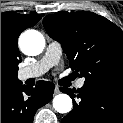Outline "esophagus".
I'll list each match as a JSON object with an SVG mask.
<instances>
[{
    "label": "esophagus",
    "instance_id": "obj_1",
    "mask_svg": "<svg viewBox=\"0 0 123 123\" xmlns=\"http://www.w3.org/2000/svg\"><path fill=\"white\" fill-rule=\"evenodd\" d=\"M58 93H60V88H59V86H55V89H54V94H58Z\"/></svg>",
    "mask_w": 123,
    "mask_h": 123
}]
</instances>
